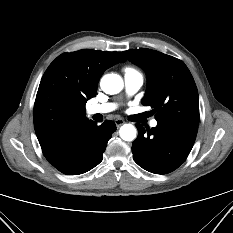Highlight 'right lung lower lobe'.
<instances>
[{
	"label": "right lung lower lobe",
	"mask_w": 233,
	"mask_h": 233,
	"mask_svg": "<svg viewBox=\"0 0 233 233\" xmlns=\"http://www.w3.org/2000/svg\"><path fill=\"white\" fill-rule=\"evenodd\" d=\"M115 130L113 121L106 120L99 126L90 121L60 142L41 147L42 152L60 172L67 175L83 174L102 161L108 140Z\"/></svg>",
	"instance_id": "1"
}]
</instances>
